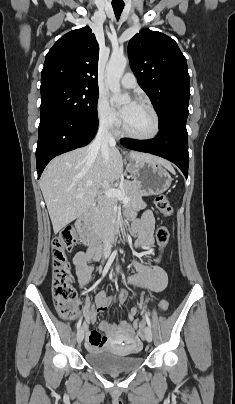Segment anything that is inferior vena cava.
Segmentation results:
<instances>
[{"label":"inferior vena cava","instance_id":"inferior-vena-cava-1","mask_svg":"<svg viewBox=\"0 0 235 404\" xmlns=\"http://www.w3.org/2000/svg\"><path fill=\"white\" fill-rule=\"evenodd\" d=\"M115 144V139L109 131V124L102 123L99 127L96 138L91 144V151H97L100 149L104 159H108L110 146ZM104 251L105 253L111 252V240L107 236L104 238Z\"/></svg>","mask_w":235,"mask_h":404}]
</instances>
